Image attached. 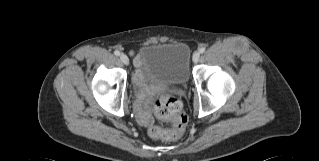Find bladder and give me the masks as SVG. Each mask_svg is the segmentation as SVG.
Returning <instances> with one entry per match:
<instances>
[{
	"label": "bladder",
	"mask_w": 319,
	"mask_h": 161,
	"mask_svg": "<svg viewBox=\"0 0 319 161\" xmlns=\"http://www.w3.org/2000/svg\"><path fill=\"white\" fill-rule=\"evenodd\" d=\"M136 61L147 82L166 85H185L191 73V51L185 43H147Z\"/></svg>",
	"instance_id": "31cf9c89"
}]
</instances>
